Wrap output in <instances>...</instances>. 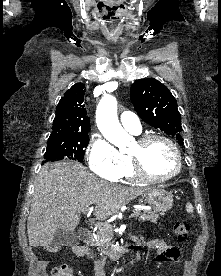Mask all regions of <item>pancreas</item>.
I'll return each instance as SVG.
<instances>
[{
  "mask_svg": "<svg viewBox=\"0 0 221 276\" xmlns=\"http://www.w3.org/2000/svg\"><path fill=\"white\" fill-rule=\"evenodd\" d=\"M134 212H139L140 220L142 221H152L156 222L159 218V214L152 211H140L134 210ZM112 238H113V227L111 225H106L105 227H100L99 231L96 233V238L93 239L91 245L102 247L103 249H112Z\"/></svg>",
  "mask_w": 221,
  "mask_h": 276,
  "instance_id": "cf45deb5",
  "label": "pancreas"
}]
</instances>
